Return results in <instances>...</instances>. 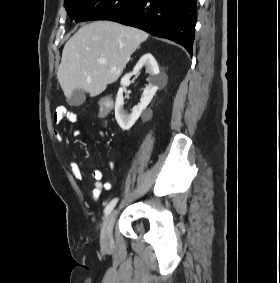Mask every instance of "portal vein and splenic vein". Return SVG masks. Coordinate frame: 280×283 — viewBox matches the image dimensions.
I'll return each instance as SVG.
<instances>
[{
  "mask_svg": "<svg viewBox=\"0 0 280 283\" xmlns=\"http://www.w3.org/2000/svg\"><path fill=\"white\" fill-rule=\"evenodd\" d=\"M99 62H100L101 64H105V63H106L105 60H100Z\"/></svg>",
  "mask_w": 280,
  "mask_h": 283,
  "instance_id": "18ae733b",
  "label": "portal vein and splenic vein"
}]
</instances>
